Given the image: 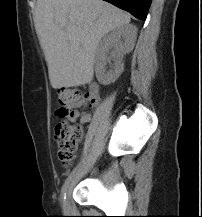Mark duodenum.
I'll return each instance as SVG.
<instances>
[{"mask_svg": "<svg viewBox=\"0 0 202 217\" xmlns=\"http://www.w3.org/2000/svg\"><path fill=\"white\" fill-rule=\"evenodd\" d=\"M90 90H91L92 93H97V92H98V87H97V85H96V84H92Z\"/></svg>", "mask_w": 202, "mask_h": 217, "instance_id": "obj_1", "label": "duodenum"}]
</instances>
